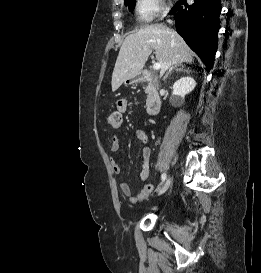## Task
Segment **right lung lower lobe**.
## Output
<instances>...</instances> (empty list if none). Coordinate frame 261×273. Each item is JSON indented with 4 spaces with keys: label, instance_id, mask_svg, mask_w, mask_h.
<instances>
[{
    "label": "right lung lower lobe",
    "instance_id": "right-lung-lower-lobe-1",
    "mask_svg": "<svg viewBox=\"0 0 261 273\" xmlns=\"http://www.w3.org/2000/svg\"><path fill=\"white\" fill-rule=\"evenodd\" d=\"M194 1V4L187 5L185 0H179L169 14L174 15L176 31L201 58L209 72L218 46L220 0Z\"/></svg>",
    "mask_w": 261,
    "mask_h": 273
}]
</instances>
